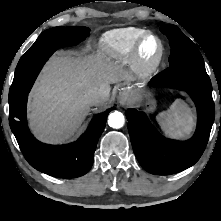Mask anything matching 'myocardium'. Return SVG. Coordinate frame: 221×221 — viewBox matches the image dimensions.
<instances>
[{"label":"myocardium","instance_id":"myocardium-1","mask_svg":"<svg viewBox=\"0 0 221 221\" xmlns=\"http://www.w3.org/2000/svg\"><path fill=\"white\" fill-rule=\"evenodd\" d=\"M150 38H153L157 42L158 49L153 58L147 59L143 54V46ZM164 50L163 41L158 35L152 32L144 33L136 43L132 53L133 65L137 73L142 77H148L153 74L162 62Z\"/></svg>","mask_w":221,"mask_h":221}]
</instances>
